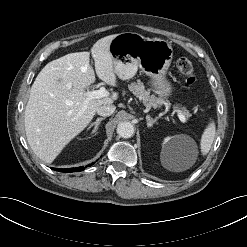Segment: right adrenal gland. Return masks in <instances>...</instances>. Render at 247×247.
<instances>
[{
	"instance_id": "2a0ac1e0",
	"label": "right adrenal gland",
	"mask_w": 247,
	"mask_h": 247,
	"mask_svg": "<svg viewBox=\"0 0 247 247\" xmlns=\"http://www.w3.org/2000/svg\"><path fill=\"white\" fill-rule=\"evenodd\" d=\"M104 119H105V117L97 118L95 122L90 124V126L88 127L87 130L91 129L94 126V129L92 130V133H91V134H94L97 131L101 121Z\"/></svg>"
}]
</instances>
